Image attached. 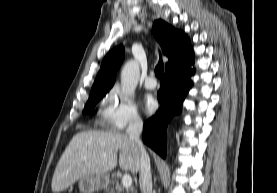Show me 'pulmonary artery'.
<instances>
[{
  "label": "pulmonary artery",
  "mask_w": 277,
  "mask_h": 193,
  "mask_svg": "<svg viewBox=\"0 0 277 193\" xmlns=\"http://www.w3.org/2000/svg\"><path fill=\"white\" fill-rule=\"evenodd\" d=\"M156 85H157V82L153 74H150L144 81L145 88L149 90L155 89Z\"/></svg>",
  "instance_id": "pulmonary-artery-1"
}]
</instances>
